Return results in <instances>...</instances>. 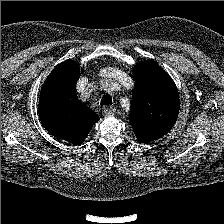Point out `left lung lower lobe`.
Instances as JSON below:
<instances>
[{
	"mask_svg": "<svg viewBox=\"0 0 224 224\" xmlns=\"http://www.w3.org/2000/svg\"><path fill=\"white\" fill-rule=\"evenodd\" d=\"M137 139L142 142V143H146V141H144V139L142 138V136H138L136 135Z\"/></svg>",
	"mask_w": 224,
	"mask_h": 224,
	"instance_id": "obj_1",
	"label": "left lung lower lobe"
}]
</instances>
